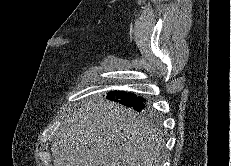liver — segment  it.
Segmentation results:
<instances>
[{"instance_id":"obj_1","label":"liver","mask_w":231,"mask_h":166,"mask_svg":"<svg viewBox=\"0 0 231 166\" xmlns=\"http://www.w3.org/2000/svg\"><path fill=\"white\" fill-rule=\"evenodd\" d=\"M164 139L133 109L89 100L54 135V166H161Z\"/></svg>"}]
</instances>
